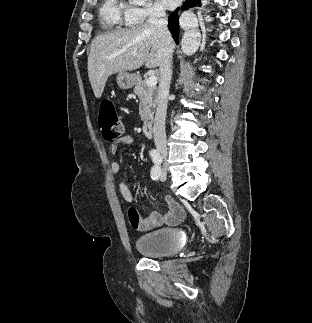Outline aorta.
I'll use <instances>...</instances> for the list:
<instances>
[{
	"label": "aorta",
	"mask_w": 312,
	"mask_h": 323,
	"mask_svg": "<svg viewBox=\"0 0 312 323\" xmlns=\"http://www.w3.org/2000/svg\"><path fill=\"white\" fill-rule=\"evenodd\" d=\"M201 42L199 30H186L181 42V50L186 56H193L197 52Z\"/></svg>",
	"instance_id": "762f6f07"
}]
</instances>
